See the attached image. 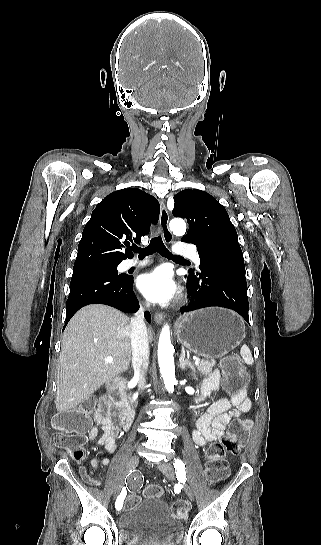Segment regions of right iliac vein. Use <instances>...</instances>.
Here are the masks:
<instances>
[{
    "mask_svg": "<svg viewBox=\"0 0 321 545\" xmlns=\"http://www.w3.org/2000/svg\"><path fill=\"white\" fill-rule=\"evenodd\" d=\"M138 463H139V456L138 455H133L129 459V462L127 464V472L134 470L137 467ZM124 483H125L124 479L122 478L119 481V483H118V485H117V487H116V489L114 491V495H113L114 499H116V498L118 499L119 494H120V492H121V490H122V488L124 486Z\"/></svg>",
    "mask_w": 321,
    "mask_h": 545,
    "instance_id": "right-iliac-vein-1",
    "label": "right iliac vein"
}]
</instances>
